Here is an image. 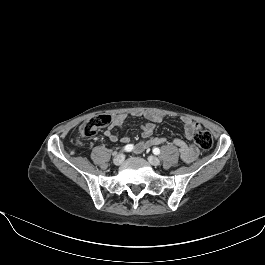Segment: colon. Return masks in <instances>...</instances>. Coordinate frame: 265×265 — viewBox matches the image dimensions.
Here are the masks:
<instances>
[{"label": "colon", "mask_w": 265, "mask_h": 265, "mask_svg": "<svg viewBox=\"0 0 265 265\" xmlns=\"http://www.w3.org/2000/svg\"><path fill=\"white\" fill-rule=\"evenodd\" d=\"M111 122V117L107 114H100L87 120L81 127V133L86 138L94 136L97 130L107 126ZM196 143L204 150H208L213 145V139L210 132L206 130H197L194 134Z\"/></svg>", "instance_id": "colon-1"}]
</instances>
